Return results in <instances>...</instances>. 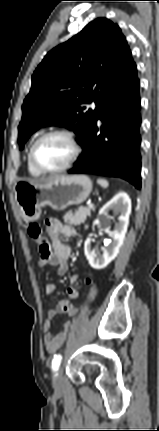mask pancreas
I'll return each instance as SVG.
<instances>
[{
    "instance_id": "1",
    "label": "pancreas",
    "mask_w": 159,
    "mask_h": 431,
    "mask_svg": "<svg viewBox=\"0 0 159 431\" xmlns=\"http://www.w3.org/2000/svg\"><path fill=\"white\" fill-rule=\"evenodd\" d=\"M94 208L79 207L74 213L69 211L64 215V221L70 225L78 226L84 223L88 216L91 215Z\"/></svg>"
}]
</instances>
